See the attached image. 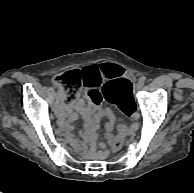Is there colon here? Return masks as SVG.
Listing matches in <instances>:
<instances>
[{"mask_svg": "<svg viewBox=\"0 0 194 193\" xmlns=\"http://www.w3.org/2000/svg\"><path fill=\"white\" fill-rule=\"evenodd\" d=\"M57 82L64 90V96L67 103L73 102L83 86L84 83V75L79 70H71L63 73L62 75L57 77ZM131 87V83L125 78H118L110 83L104 89V97L110 100H114L118 90L120 89H129ZM101 99V96H100ZM133 111H130L132 113ZM126 137V131L121 130L116 138L114 139L111 150L113 152L119 151L123 144L124 139Z\"/></svg>", "mask_w": 194, "mask_h": 193, "instance_id": "colon-1", "label": "colon"}]
</instances>
